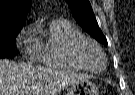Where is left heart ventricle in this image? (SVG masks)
I'll return each mask as SVG.
<instances>
[{"label":"left heart ventricle","instance_id":"b2bd125f","mask_svg":"<svg viewBox=\"0 0 135 95\" xmlns=\"http://www.w3.org/2000/svg\"><path fill=\"white\" fill-rule=\"evenodd\" d=\"M70 46V45H69ZM81 55L85 63L92 69L102 68L104 61L101 54L94 47L85 45L81 50Z\"/></svg>","mask_w":135,"mask_h":95}]
</instances>
